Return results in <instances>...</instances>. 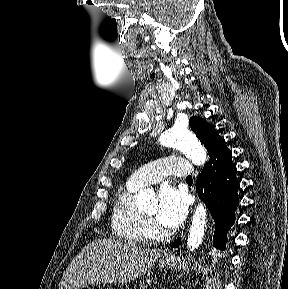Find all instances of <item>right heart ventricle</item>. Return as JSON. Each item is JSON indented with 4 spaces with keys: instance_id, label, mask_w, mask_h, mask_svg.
<instances>
[{
    "instance_id": "obj_1",
    "label": "right heart ventricle",
    "mask_w": 288,
    "mask_h": 289,
    "mask_svg": "<svg viewBox=\"0 0 288 289\" xmlns=\"http://www.w3.org/2000/svg\"><path fill=\"white\" fill-rule=\"evenodd\" d=\"M141 187L127 182L115 195L111 217L113 233L131 244L147 240L146 219L135 205V195Z\"/></svg>"
}]
</instances>
